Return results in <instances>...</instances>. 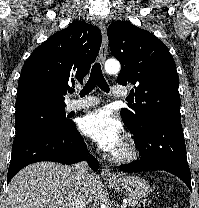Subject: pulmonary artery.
Listing matches in <instances>:
<instances>
[{
  "mask_svg": "<svg viewBox=\"0 0 199 208\" xmlns=\"http://www.w3.org/2000/svg\"><path fill=\"white\" fill-rule=\"evenodd\" d=\"M126 95H127V90L122 87H114L112 90V96L115 98H122L125 97ZM99 102L100 100L95 97H91V96L81 97L71 100L67 105V109L70 111L85 109L89 107H94Z\"/></svg>",
  "mask_w": 199,
  "mask_h": 208,
  "instance_id": "obj_1",
  "label": "pulmonary artery"
}]
</instances>
